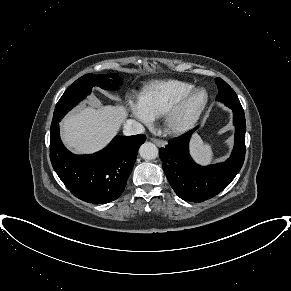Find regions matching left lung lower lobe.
<instances>
[{
  "label": "left lung lower lobe",
  "mask_w": 291,
  "mask_h": 291,
  "mask_svg": "<svg viewBox=\"0 0 291 291\" xmlns=\"http://www.w3.org/2000/svg\"><path fill=\"white\" fill-rule=\"evenodd\" d=\"M235 145L230 158L220 164L200 166L189 154L194 130L171 140L161 148L162 167L174 192L183 200L202 202L226 188L240 171L245 158L246 124L243 108H233Z\"/></svg>",
  "instance_id": "left-lung-lower-lobe-1"
}]
</instances>
